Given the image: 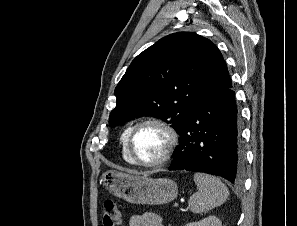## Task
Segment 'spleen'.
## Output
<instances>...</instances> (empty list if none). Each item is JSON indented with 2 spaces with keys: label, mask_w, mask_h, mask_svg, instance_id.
Here are the masks:
<instances>
[{
  "label": "spleen",
  "mask_w": 297,
  "mask_h": 226,
  "mask_svg": "<svg viewBox=\"0 0 297 226\" xmlns=\"http://www.w3.org/2000/svg\"><path fill=\"white\" fill-rule=\"evenodd\" d=\"M194 181L198 192L194 193L188 202L193 213H205L223 204L229 196L228 188L217 177L195 173Z\"/></svg>",
  "instance_id": "spleen-1"
}]
</instances>
